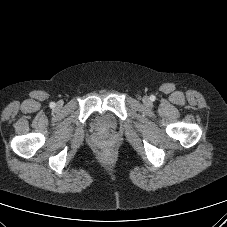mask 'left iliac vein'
Returning <instances> with one entry per match:
<instances>
[{"mask_svg":"<svg viewBox=\"0 0 227 227\" xmlns=\"http://www.w3.org/2000/svg\"><path fill=\"white\" fill-rule=\"evenodd\" d=\"M143 102H144L146 105H149V104H150V99H149V97H144Z\"/></svg>","mask_w":227,"mask_h":227,"instance_id":"obj_1","label":"left iliac vein"}]
</instances>
